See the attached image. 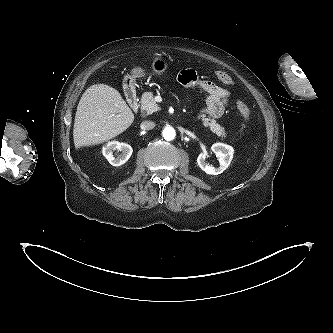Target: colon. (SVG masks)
<instances>
[{"label": "colon", "mask_w": 333, "mask_h": 333, "mask_svg": "<svg viewBox=\"0 0 333 333\" xmlns=\"http://www.w3.org/2000/svg\"><path fill=\"white\" fill-rule=\"evenodd\" d=\"M216 77L217 79L224 83V84H232L233 80L232 77L223 71H217L216 73ZM236 107L240 113V115L242 116L244 122L246 124H249L251 121V113H250V109L248 108V106L242 101V100H237L236 101Z\"/></svg>", "instance_id": "1"}]
</instances>
